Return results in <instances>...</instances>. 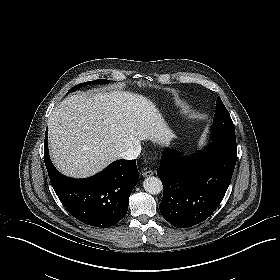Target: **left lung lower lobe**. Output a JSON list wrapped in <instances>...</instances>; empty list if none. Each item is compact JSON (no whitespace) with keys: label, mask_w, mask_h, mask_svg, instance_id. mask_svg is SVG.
<instances>
[{"label":"left lung lower lobe","mask_w":280,"mask_h":280,"mask_svg":"<svg viewBox=\"0 0 280 280\" xmlns=\"http://www.w3.org/2000/svg\"><path fill=\"white\" fill-rule=\"evenodd\" d=\"M208 153L185 157L165 150L157 175L163 184L159 205L164 219L177 228L206 220L221 203L237 160L236 145L213 141Z\"/></svg>","instance_id":"obj_1"}]
</instances>
